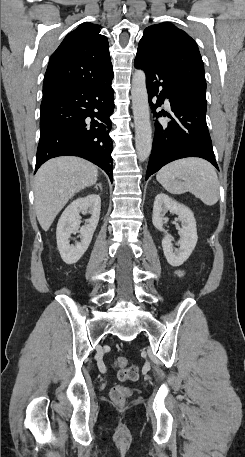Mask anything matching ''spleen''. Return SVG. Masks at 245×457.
<instances>
[{
  "instance_id": "obj_1",
  "label": "spleen",
  "mask_w": 245,
  "mask_h": 457,
  "mask_svg": "<svg viewBox=\"0 0 245 457\" xmlns=\"http://www.w3.org/2000/svg\"><path fill=\"white\" fill-rule=\"evenodd\" d=\"M156 178L172 194H183L189 190L205 204H215L219 200L216 168L204 158L190 156L173 160L158 170Z\"/></svg>"
}]
</instances>
